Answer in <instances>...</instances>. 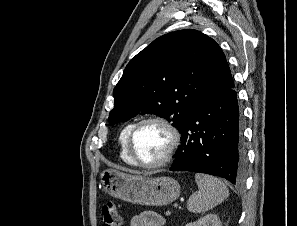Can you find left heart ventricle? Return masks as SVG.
Listing matches in <instances>:
<instances>
[{
    "instance_id": "1",
    "label": "left heart ventricle",
    "mask_w": 297,
    "mask_h": 226,
    "mask_svg": "<svg viewBox=\"0 0 297 226\" xmlns=\"http://www.w3.org/2000/svg\"><path fill=\"white\" fill-rule=\"evenodd\" d=\"M169 141L170 135L162 126L148 123L138 128L133 149L140 161L152 163L163 157Z\"/></svg>"
}]
</instances>
